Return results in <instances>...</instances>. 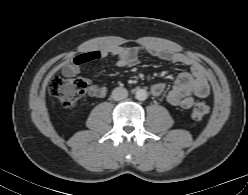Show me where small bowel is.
<instances>
[{
    "label": "small bowel",
    "instance_id": "c3829d8e",
    "mask_svg": "<svg viewBox=\"0 0 248 195\" xmlns=\"http://www.w3.org/2000/svg\"><path fill=\"white\" fill-rule=\"evenodd\" d=\"M143 50L159 59L169 61L174 64H184L190 67L189 72H182L178 75L173 88L167 95L169 104L183 109L193 106L196 98H206L210 93V86L203 67L190 58L155 46H145ZM139 50L136 48L111 47L101 50L90 51L77 57L73 63L63 67L62 73L65 76H72L80 73L82 64L98 59L113 58L119 67H132L138 62ZM89 95L96 98H103L107 94V89L94 82L90 77H85ZM165 88L161 81L155 82L151 86L154 96H160Z\"/></svg>",
    "mask_w": 248,
    "mask_h": 195
}]
</instances>
